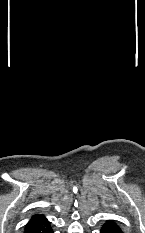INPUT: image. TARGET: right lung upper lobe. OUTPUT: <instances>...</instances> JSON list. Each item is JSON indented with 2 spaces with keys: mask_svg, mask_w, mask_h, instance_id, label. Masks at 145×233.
Returning a JSON list of instances; mask_svg holds the SVG:
<instances>
[{
  "mask_svg": "<svg viewBox=\"0 0 145 233\" xmlns=\"http://www.w3.org/2000/svg\"><path fill=\"white\" fill-rule=\"evenodd\" d=\"M41 218H43V216H42V215H38V214L32 216V217H31V220L27 223L26 227H27L28 225H30L32 222H34V221H36V220H39V219H41Z\"/></svg>",
  "mask_w": 145,
  "mask_h": 233,
  "instance_id": "obj_1",
  "label": "right lung upper lobe"
}]
</instances>
